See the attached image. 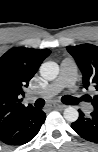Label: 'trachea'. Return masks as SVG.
I'll return each mask as SVG.
<instances>
[{
    "instance_id": "trachea-1",
    "label": "trachea",
    "mask_w": 98,
    "mask_h": 152,
    "mask_svg": "<svg viewBox=\"0 0 98 152\" xmlns=\"http://www.w3.org/2000/svg\"><path fill=\"white\" fill-rule=\"evenodd\" d=\"M62 102L65 103V104H71V103H74V102H77L73 97L71 96H63L62 97ZM45 104V101L43 99H37L35 101V107L36 108H42Z\"/></svg>"
}]
</instances>
